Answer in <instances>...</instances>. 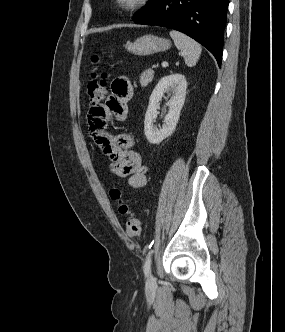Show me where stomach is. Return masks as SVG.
<instances>
[{
	"label": "stomach",
	"instance_id": "0dacf381",
	"mask_svg": "<svg viewBox=\"0 0 285 332\" xmlns=\"http://www.w3.org/2000/svg\"><path fill=\"white\" fill-rule=\"evenodd\" d=\"M125 47L135 55L147 56L168 50L171 43L165 38L149 34L139 37L134 42H127Z\"/></svg>",
	"mask_w": 285,
	"mask_h": 332
}]
</instances>
